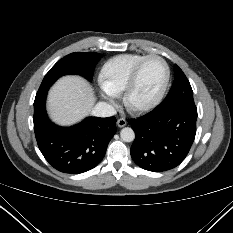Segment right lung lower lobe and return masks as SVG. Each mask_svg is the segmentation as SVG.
<instances>
[{
	"label": "right lung lower lobe",
	"mask_w": 233,
	"mask_h": 233,
	"mask_svg": "<svg viewBox=\"0 0 233 233\" xmlns=\"http://www.w3.org/2000/svg\"><path fill=\"white\" fill-rule=\"evenodd\" d=\"M47 92L35 97L34 132L39 149L55 169L69 174L86 172L103 159L116 133V118L88 117L72 127L53 124L46 113Z\"/></svg>",
	"instance_id": "1"
}]
</instances>
